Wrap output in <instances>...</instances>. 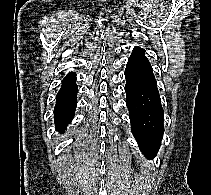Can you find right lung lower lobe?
<instances>
[{
	"instance_id": "obj_1",
	"label": "right lung lower lobe",
	"mask_w": 211,
	"mask_h": 195,
	"mask_svg": "<svg viewBox=\"0 0 211 195\" xmlns=\"http://www.w3.org/2000/svg\"><path fill=\"white\" fill-rule=\"evenodd\" d=\"M77 91L76 75L71 72L62 80V86L56 98L54 114L56 128L59 132H64L74 117Z\"/></svg>"
}]
</instances>
